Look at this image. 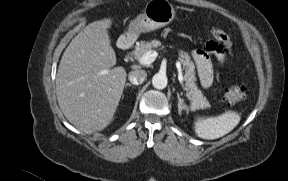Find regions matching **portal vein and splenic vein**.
Listing matches in <instances>:
<instances>
[{
  "label": "portal vein and splenic vein",
  "instance_id": "portal-vein-and-splenic-vein-1",
  "mask_svg": "<svg viewBox=\"0 0 288 181\" xmlns=\"http://www.w3.org/2000/svg\"><path fill=\"white\" fill-rule=\"evenodd\" d=\"M158 56V52L152 50L146 52L142 57L138 59L139 64L141 65H149L151 64ZM176 67L178 70V80L181 85H183V73L181 69V63L179 61L176 62Z\"/></svg>",
  "mask_w": 288,
  "mask_h": 181
}]
</instances>
